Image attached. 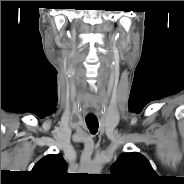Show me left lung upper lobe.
I'll return each instance as SVG.
<instances>
[{"instance_id": "1", "label": "left lung upper lobe", "mask_w": 184, "mask_h": 184, "mask_svg": "<svg viewBox=\"0 0 184 184\" xmlns=\"http://www.w3.org/2000/svg\"><path fill=\"white\" fill-rule=\"evenodd\" d=\"M111 178L116 184H153L157 174L140 153H122L111 168Z\"/></svg>"}]
</instances>
